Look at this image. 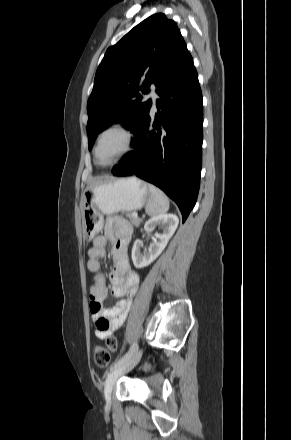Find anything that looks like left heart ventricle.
Here are the masks:
<instances>
[{"label":"left heart ventricle","instance_id":"obj_1","mask_svg":"<svg viewBox=\"0 0 291 440\" xmlns=\"http://www.w3.org/2000/svg\"><path fill=\"white\" fill-rule=\"evenodd\" d=\"M122 147V139L119 135L111 134L107 136L98 150V161L112 160L121 152Z\"/></svg>","mask_w":291,"mask_h":440}]
</instances>
